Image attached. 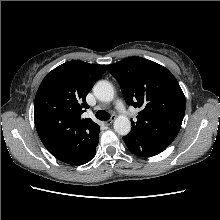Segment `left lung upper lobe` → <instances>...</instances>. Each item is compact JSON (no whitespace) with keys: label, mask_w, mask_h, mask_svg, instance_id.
<instances>
[{"label":"left lung upper lobe","mask_w":220,"mask_h":220,"mask_svg":"<svg viewBox=\"0 0 220 220\" xmlns=\"http://www.w3.org/2000/svg\"><path fill=\"white\" fill-rule=\"evenodd\" d=\"M118 80L127 104L140 107L130 135L167 147L177 136L185 114V96L176 78L165 67L130 57L107 66Z\"/></svg>","instance_id":"obj_1"}]
</instances>
